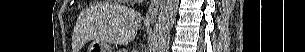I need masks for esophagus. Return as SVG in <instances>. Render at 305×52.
<instances>
[{"label": "esophagus", "instance_id": "1", "mask_svg": "<svg viewBox=\"0 0 305 52\" xmlns=\"http://www.w3.org/2000/svg\"><path fill=\"white\" fill-rule=\"evenodd\" d=\"M160 0H152L146 15V19L149 21H154L157 18L158 8Z\"/></svg>", "mask_w": 305, "mask_h": 52}]
</instances>
